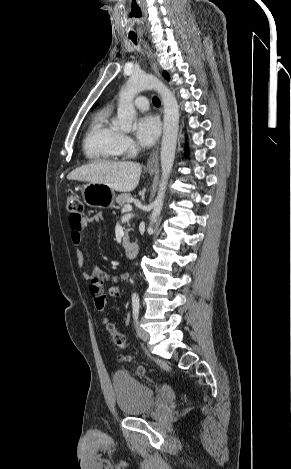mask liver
<instances>
[{
    "label": "liver",
    "instance_id": "6515ba94",
    "mask_svg": "<svg viewBox=\"0 0 291 469\" xmlns=\"http://www.w3.org/2000/svg\"><path fill=\"white\" fill-rule=\"evenodd\" d=\"M141 171V165L135 162L100 161L76 168L67 179L101 183L118 192H128L137 187Z\"/></svg>",
    "mask_w": 291,
    "mask_h": 469
}]
</instances>
